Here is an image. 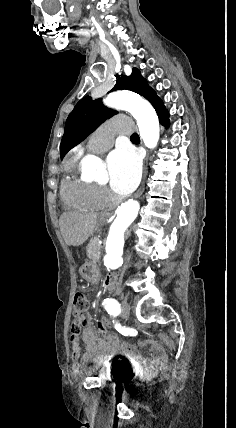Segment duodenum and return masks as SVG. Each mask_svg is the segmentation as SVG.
I'll use <instances>...</instances> for the list:
<instances>
[{
  "instance_id": "410a0bca",
  "label": "duodenum",
  "mask_w": 236,
  "mask_h": 428,
  "mask_svg": "<svg viewBox=\"0 0 236 428\" xmlns=\"http://www.w3.org/2000/svg\"><path fill=\"white\" fill-rule=\"evenodd\" d=\"M117 281V275L115 273H109L106 276V285L108 287H114Z\"/></svg>"
}]
</instances>
